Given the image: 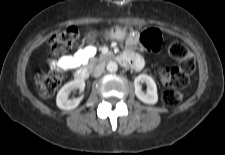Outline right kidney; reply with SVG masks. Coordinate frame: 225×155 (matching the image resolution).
<instances>
[{
	"mask_svg": "<svg viewBox=\"0 0 225 155\" xmlns=\"http://www.w3.org/2000/svg\"><path fill=\"white\" fill-rule=\"evenodd\" d=\"M85 88V82L80 79H76L65 84L58 92L56 97V104L60 109L63 110H71L76 108L80 101L82 100V96L79 98L69 99V94L74 89H79L82 92Z\"/></svg>",
	"mask_w": 225,
	"mask_h": 155,
	"instance_id": "right-kidney-1",
	"label": "right kidney"
}]
</instances>
